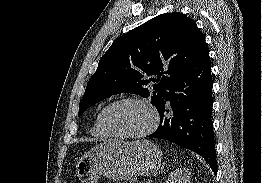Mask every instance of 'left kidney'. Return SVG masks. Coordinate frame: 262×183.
Here are the masks:
<instances>
[{
	"instance_id": "left-kidney-1",
	"label": "left kidney",
	"mask_w": 262,
	"mask_h": 183,
	"mask_svg": "<svg viewBox=\"0 0 262 183\" xmlns=\"http://www.w3.org/2000/svg\"><path fill=\"white\" fill-rule=\"evenodd\" d=\"M190 176L188 168H178L170 174L165 183H190Z\"/></svg>"
}]
</instances>
